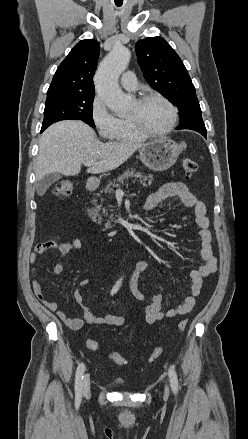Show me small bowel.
<instances>
[{"mask_svg":"<svg viewBox=\"0 0 248 439\" xmlns=\"http://www.w3.org/2000/svg\"><path fill=\"white\" fill-rule=\"evenodd\" d=\"M179 198L182 204L193 210L194 223L199 229V240L201 244L200 254L203 260L202 266L193 270L190 274L191 286L189 294L184 300L176 305L174 308L163 311L162 310V294L156 293L151 296L146 295L139 288V279L143 272L149 269L148 261H139L131 275L130 290L132 294L139 300L146 301L147 306L145 310V321L147 323H154L156 321L171 318L174 316L184 315L189 313L196 304V298L200 294L203 281L205 278L214 274L217 271V259L212 250V234L209 229L210 221L206 215L207 208L205 204L200 201L192 192L189 191L186 184L182 182H171L161 186L156 192L150 194L145 202L144 209L146 211L154 209L161 202L171 199ZM82 243L79 240H71L61 244L45 243L40 244L34 248L30 255V263L34 264L38 257L46 250L54 248L58 252V260L52 268V273L58 275L63 271V260L74 249H80ZM33 276H35L36 268L31 269ZM89 279L80 280L73 290V298L82 310L81 318L68 317L59 305L47 298L42 290L40 282L34 277L32 281V289L35 296L71 329L77 330L84 325L103 324L109 326H122L125 322L124 318L115 314H108L105 316L95 315L90 307H88L81 295V288L87 286Z\"/></svg>","mask_w":248,"mask_h":439,"instance_id":"small-bowel-1","label":"small bowel"}]
</instances>
